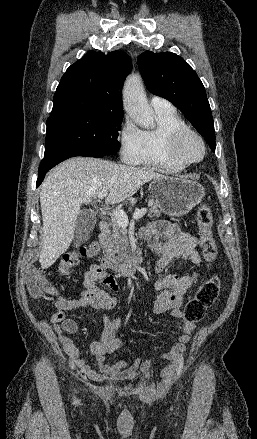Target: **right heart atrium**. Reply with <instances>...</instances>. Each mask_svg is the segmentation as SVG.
<instances>
[{"label": "right heart atrium", "instance_id": "right-heart-atrium-1", "mask_svg": "<svg viewBox=\"0 0 257 439\" xmlns=\"http://www.w3.org/2000/svg\"><path fill=\"white\" fill-rule=\"evenodd\" d=\"M121 159L133 163L141 151V131L129 117H126L118 133Z\"/></svg>", "mask_w": 257, "mask_h": 439}]
</instances>
